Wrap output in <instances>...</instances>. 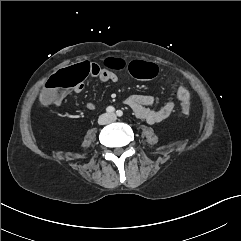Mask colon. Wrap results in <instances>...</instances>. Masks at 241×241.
I'll list each match as a JSON object with an SVG mask.
<instances>
[{"mask_svg":"<svg viewBox=\"0 0 241 241\" xmlns=\"http://www.w3.org/2000/svg\"><path fill=\"white\" fill-rule=\"evenodd\" d=\"M105 65L113 70H124L127 67V62L120 58H109L105 61ZM129 70L134 76L141 78H152L157 72L154 64L140 63L138 61H133L129 65ZM89 73L90 65L86 61H78L74 66L58 71L47 81L42 94V102L51 104L61 101L65 92L77 87ZM177 95L181 102L182 114L189 115L191 105L188 90L181 89L177 92Z\"/></svg>","mask_w":241,"mask_h":241,"instance_id":"5ec220e1","label":"colon"}]
</instances>
